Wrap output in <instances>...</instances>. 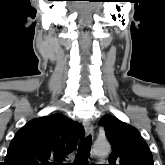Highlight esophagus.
I'll list each match as a JSON object with an SVG mask.
<instances>
[{
    "label": "esophagus",
    "instance_id": "34e87169",
    "mask_svg": "<svg viewBox=\"0 0 165 165\" xmlns=\"http://www.w3.org/2000/svg\"><path fill=\"white\" fill-rule=\"evenodd\" d=\"M84 129L87 135H92L94 132L93 125L90 122L84 124Z\"/></svg>",
    "mask_w": 165,
    "mask_h": 165
}]
</instances>
